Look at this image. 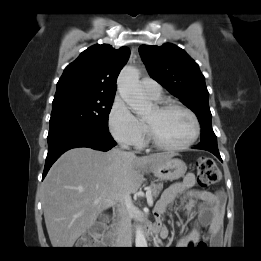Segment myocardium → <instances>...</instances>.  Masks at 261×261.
Segmentation results:
<instances>
[{
  "mask_svg": "<svg viewBox=\"0 0 261 261\" xmlns=\"http://www.w3.org/2000/svg\"><path fill=\"white\" fill-rule=\"evenodd\" d=\"M156 108L159 112H166L171 109H180V110L184 111L192 119L193 125H194V130H193L192 136L183 144L168 145V144L161 142L156 137L150 124L145 121L148 142L152 146H154L157 149L164 150V151H181V150H185V149L189 148L196 142V140L198 139V137L200 135L201 127H200V122H199L197 115L190 108H188L187 106H185L179 102H175V101L162 102V103L158 104L156 106Z\"/></svg>",
  "mask_w": 261,
  "mask_h": 261,
  "instance_id": "obj_1",
  "label": "myocardium"
}]
</instances>
